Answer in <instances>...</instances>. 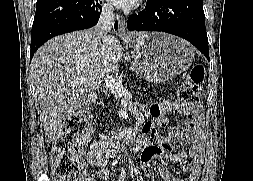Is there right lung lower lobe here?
<instances>
[{"instance_id": "obj_1", "label": "right lung lower lobe", "mask_w": 253, "mask_h": 181, "mask_svg": "<svg viewBox=\"0 0 253 181\" xmlns=\"http://www.w3.org/2000/svg\"><path fill=\"white\" fill-rule=\"evenodd\" d=\"M98 0H38L32 25L30 59L50 38L97 24L102 7ZM117 29V22L114 25Z\"/></svg>"}]
</instances>
